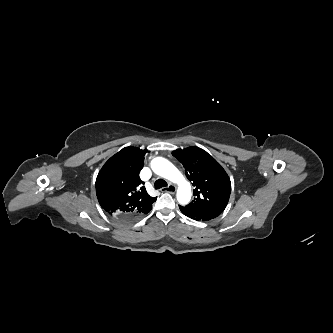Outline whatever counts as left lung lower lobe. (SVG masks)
<instances>
[{
    "mask_svg": "<svg viewBox=\"0 0 333 333\" xmlns=\"http://www.w3.org/2000/svg\"><path fill=\"white\" fill-rule=\"evenodd\" d=\"M179 208L181 210V212L194 219L197 221H206V220H211L213 218H216L217 216L220 215V212H213V211H198L192 208H189L187 206H181L179 205Z\"/></svg>",
    "mask_w": 333,
    "mask_h": 333,
    "instance_id": "1",
    "label": "left lung lower lobe"
}]
</instances>
